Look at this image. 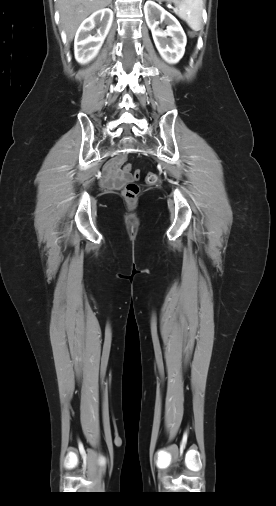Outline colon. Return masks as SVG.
Here are the masks:
<instances>
[{"label":"colon","instance_id":"5ec220e1","mask_svg":"<svg viewBox=\"0 0 276 506\" xmlns=\"http://www.w3.org/2000/svg\"><path fill=\"white\" fill-rule=\"evenodd\" d=\"M124 171H130L132 169L130 164H125L123 166ZM134 180L127 183L125 189L123 191V197L128 201H135L137 199L139 193V187L136 184V180L140 177V170H135L133 174ZM146 181L149 184H157L160 181L159 175L157 173L149 172L146 175Z\"/></svg>","mask_w":276,"mask_h":506}]
</instances>
